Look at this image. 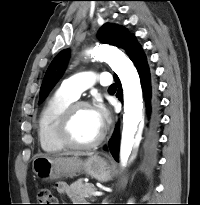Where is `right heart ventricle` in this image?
I'll use <instances>...</instances> for the list:
<instances>
[{"label": "right heart ventricle", "instance_id": "obj_1", "mask_svg": "<svg viewBox=\"0 0 200 205\" xmlns=\"http://www.w3.org/2000/svg\"><path fill=\"white\" fill-rule=\"evenodd\" d=\"M74 100V98L59 89L42 108L38 120V138L41 148L45 152L55 153L65 148L58 139L57 125L63 111Z\"/></svg>", "mask_w": 200, "mask_h": 205}]
</instances>
